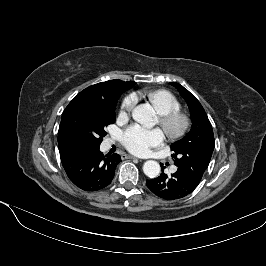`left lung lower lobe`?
<instances>
[{"mask_svg": "<svg viewBox=\"0 0 266 266\" xmlns=\"http://www.w3.org/2000/svg\"><path fill=\"white\" fill-rule=\"evenodd\" d=\"M163 171V166L161 165ZM147 187L158 197L165 200H175L189 195L198 186L199 182L193 180L182 169L171 176L164 173L155 179L146 181Z\"/></svg>", "mask_w": 266, "mask_h": 266, "instance_id": "0a47b994", "label": "left lung lower lobe"}]
</instances>
